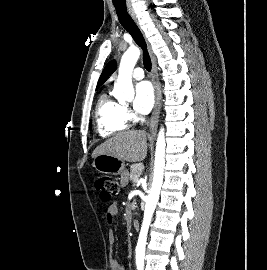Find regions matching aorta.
<instances>
[{
	"label": "aorta",
	"instance_id": "762f6f07",
	"mask_svg": "<svg viewBox=\"0 0 267 270\" xmlns=\"http://www.w3.org/2000/svg\"><path fill=\"white\" fill-rule=\"evenodd\" d=\"M139 56H140V49L135 46L127 49V51L122 56L118 70V78L116 83L114 84L113 89V95L119 101L132 100L134 97V89L132 85V72ZM165 147H166L165 132L164 128H161L158 133L156 143L153 182L149 194L146 198L143 223L136 247L137 262L144 261L148 229L156 205L159 200L164 175Z\"/></svg>",
	"mask_w": 267,
	"mask_h": 270
}]
</instances>
